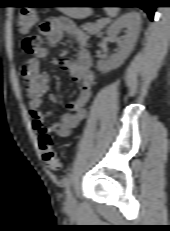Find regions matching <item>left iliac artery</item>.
Listing matches in <instances>:
<instances>
[{"label":"left iliac artery","mask_w":170,"mask_h":231,"mask_svg":"<svg viewBox=\"0 0 170 231\" xmlns=\"http://www.w3.org/2000/svg\"><path fill=\"white\" fill-rule=\"evenodd\" d=\"M72 179H73V176H72V174H70V175H68V177L64 181L65 192L67 194L70 193V186H71V183H72Z\"/></svg>","instance_id":"44dca946"}]
</instances>
